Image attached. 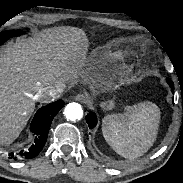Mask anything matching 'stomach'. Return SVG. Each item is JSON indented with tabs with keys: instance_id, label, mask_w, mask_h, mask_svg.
Listing matches in <instances>:
<instances>
[{
	"instance_id": "1",
	"label": "stomach",
	"mask_w": 183,
	"mask_h": 183,
	"mask_svg": "<svg viewBox=\"0 0 183 183\" xmlns=\"http://www.w3.org/2000/svg\"><path fill=\"white\" fill-rule=\"evenodd\" d=\"M102 107L106 110H110L114 107V101L113 100H108L106 102H103Z\"/></svg>"
}]
</instances>
